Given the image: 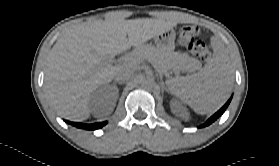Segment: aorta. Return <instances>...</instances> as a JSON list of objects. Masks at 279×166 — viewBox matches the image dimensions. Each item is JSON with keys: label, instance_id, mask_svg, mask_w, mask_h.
Returning a JSON list of instances; mask_svg holds the SVG:
<instances>
[{"label": "aorta", "instance_id": "obj_1", "mask_svg": "<svg viewBox=\"0 0 279 166\" xmlns=\"http://www.w3.org/2000/svg\"><path fill=\"white\" fill-rule=\"evenodd\" d=\"M154 85V80L152 78H146L142 81V86L145 88H151Z\"/></svg>", "mask_w": 279, "mask_h": 166}]
</instances>
